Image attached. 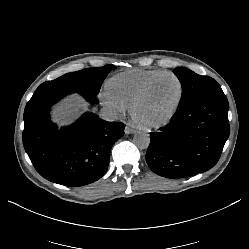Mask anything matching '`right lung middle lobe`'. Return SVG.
I'll return each instance as SVG.
<instances>
[{"mask_svg": "<svg viewBox=\"0 0 249 249\" xmlns=\"http://www.w3.org/2000/svg\"><path fill=\"white\" fill-rule=\"evenodd\" d=\"M116 66L108 64L103 67L85 68L65 74L55 80L42 83L35 92L48 89H76L90 98L96 97L107 74ZM95 101V100H94Z\"/></svg>", "mask_w": 249, "mask_h": 249, "instance_id": "1", "label": "right lung middle lobe"}]
</instances>
